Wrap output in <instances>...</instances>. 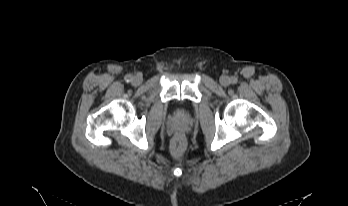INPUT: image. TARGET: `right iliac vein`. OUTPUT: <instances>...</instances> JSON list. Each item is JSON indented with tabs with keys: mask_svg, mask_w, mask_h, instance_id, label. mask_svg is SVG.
Listing matches in <instances>:
<instances>
[{
	"mask_svg": "<svg viewBox=\"0 0 348 206\" xmlns=\"http://www.w3.org/2000/svg\"><path fill=\"white\" fill-rule=\"evenodd\" d=\"M142 83V78L140 76H135L132 79V84L134 86H139Z\"/></svg>",
	"mask_w": 348,
	"mask_h": 206,
	"instance_id": "1",
	"label": "right iliac vein"
}]
</instances>
